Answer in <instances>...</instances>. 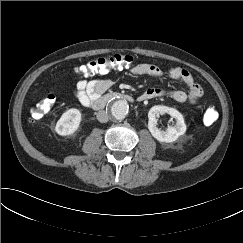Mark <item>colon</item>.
Returning <instances> with one entry per match:
<instances>
[{"label":"colon","mask_w":243,"mask_h":243,"mask_svg":"<svg viewBox=\"0 0 243 243\" xmlns=\"http://www.w3.org/2000/svg\"><path fill=\"white\" fill-rule=\"evenodd\" d=\"M134 62V57L128 54H115L110 57H98L81 65L76 72L84 77H90L98 73H106L111 68L129 66ZM56 96L48 93L31 111V118L39 120L46 114L55 104ZM218 118L217 111L209 107L205 110L203 120L205 124L211 125Z\"/></svg>","instance_id":"colon-1"}]
</instances>
